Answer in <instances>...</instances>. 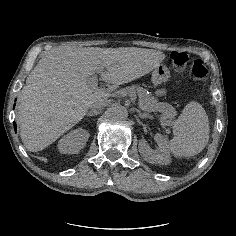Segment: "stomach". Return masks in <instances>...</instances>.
<instances>
[{
  "mask_svg": "<svg viewBox=\"0 0 236 236\" xmlns=\"http://www.w3.org/2000/svg\"><path fill=\"white\" fill-rule=\"evenodd\" d=\"M170 78V72L166 66L160 65L152 73V83L154 86H160L165 84ZM166 93L165 89H159L156 91L157 95H163Z\"/></svg>",
  "mask_w": 236,
  "mask_h": 236,
  "instance_id": "obj_1",
  "label": "stomach"
}]
</instances>
